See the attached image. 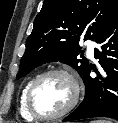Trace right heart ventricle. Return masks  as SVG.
Listing matches in <instances>:
<instances>
[{
	"label": "right heart ventricle",
	"mask_w": 118,
	"mask_h": 123,
	"mask_svg": "<svg viewBox=\"0 0 118 123\" xmlns=\"http://www.w3.org/2000/svg\"><path fill=\"white\" fill-rule=\"evenodd\" d=\"M35 78H31L29 79L25 85L23 86L21 93H20V97H19V113L20 115L28 120V121H33L35 120V118L29 113L28 109H27V105H26V96H27V92L28 89L31 85V83L34 81Z\"/></svg>",
	"instance_id": "right-heart-ventricle-1"
}]
</instances>
